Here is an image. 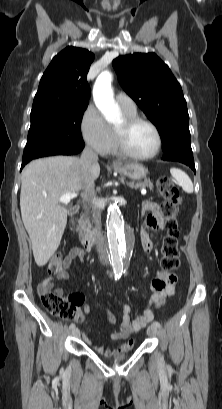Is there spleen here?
<instances>
[{
  "mask_svg": "<svg viewBox=\"0 0 222 409\" xmlns=\"http://www.w3.org/2000/svg\"><path fill=\"white\" fill-rule=\"evenodd\" d=\"M170 173L186 193L190 194L193 192L192 181L185 172L177 168H171Z\"/></svg>",
  "mask_w": 222,
  "mask_h": 409,
  "instance_id": "obj_1",
  "label": "spleen"
}]
</instances>
